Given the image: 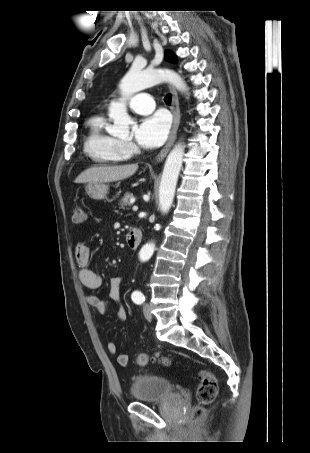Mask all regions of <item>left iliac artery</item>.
Wrapping results in <instances>:
<instances>
[{"mask_svg":"<svg viewBox=\"0 0 310 453\" xmlns=\"http://www.w3.org/2000/svg\"><path fill=\"white\" fill-rule=\"evenodd\" d=\"M131 298L136 304H142L145 301V296L140 291H134Z\"/></svg>","mask_w":310,"mask_h":453,"instance_id":"left-iliac-artery-1","label":"left iliac artery"}]
</instances>
